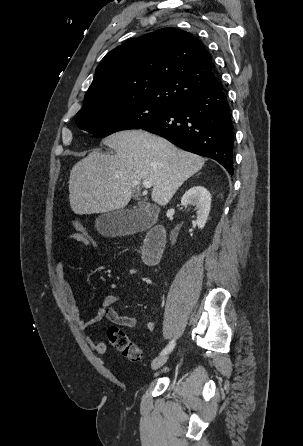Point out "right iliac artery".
I'll return each instance as SVG.
<instances>
[{
  "instance_id": "obj_1",
  "label": "right iliac artery",
  "mask_w": 303,
  "mask_h": 446,
  "mask_svg": "<svg viewBox=\"0 0 303 446\" xmlns=\"http://www.w3.org/2000/svg\"><path fill=\"white\" fill-rule=\"evenodd\" d=\"M175 347V340H172L162 351H161V355H166L169 352H171Z\"/></svg>"
}]
</instances>
